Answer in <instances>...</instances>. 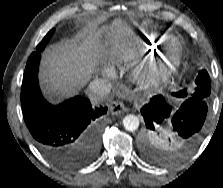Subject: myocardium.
<instances>
[{
  "mask_svg": "<svg viewBox=\"0 0 223 188\" xmlns=\"http://www.w3.org/2000/svg\"><path fill=\"white\" fill-rule=\"evenodd\" d=\"M161 50L159 58L150 60L135 72V78L143 89L150 90L159 86L178 71L184 51L182 40L170 35L163 41Z\"/></svg>",
  "mask_w": 223,
  "mask_h": 188,
  "instance_id": "obj_1",
  "label": "myocardium"
}]
</instances>
